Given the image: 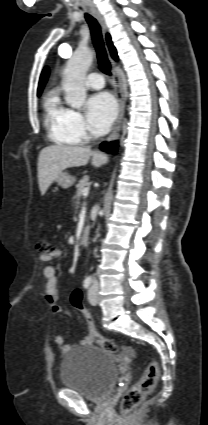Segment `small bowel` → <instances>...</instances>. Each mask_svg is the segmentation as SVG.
Wrapping results in <instances>:
<instances>
[{
  "label": "small bowel",
  "instance_id": "small-bowel-1",
  "mask_svg": "<svg viewBox=\"0 0 208 425\" xmlns=\"http://www.w3.org/2000/svg\"><path fill=\"white\" fill-rule=\"evenodd\" d=\"M61 256V251L56 250L52 254L40 255V261L45 263V267L43 268V274L46 278L45 285V299L50 306V309L53 313L58 314L61 312V307L58 304L59 298V284H58V275L56 269L49 265L53 258H57ZM54 341L57 346L63 351L68 352L71 349V345L66 343L64 338L60 334H56L54 337ZM91 343L90 337H85L81 344L88 345Z\"/></svg>",
  "mask_w": 208,
  "mask_h": 425
}]
</instances>
